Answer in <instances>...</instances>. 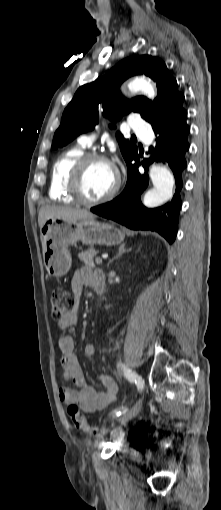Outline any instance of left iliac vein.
Wrapping results in <instances>:
<instances>
[{"instance_id": "4c4485c4", "label": "left iliac vein", "mask_w": 221, "mask_h": 510, "mask_svg": "<svg viewBox=\"0 0 221 510\" xmlns=\"http://www.w3.org/2000/svg\"><path fill=\"white\" fill-rule=\"evenodd\" d=\"M142 402H143V398L140 397L136 403L133 405V407L126 413L124 414L121 418H119V421L121 423H127L128 421H130L131 419H133L135 416L138 415V413L140 412L141 410V407H142Z\"/></svg>"}]
</instances>
